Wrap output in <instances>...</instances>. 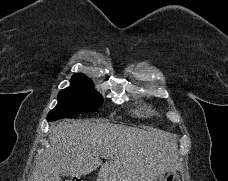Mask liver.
Returning <instances> with one entry per match:
<instances>
[{
	"label": "liver",
	"instance_id": "1",
	"mask_svg": "<svg viewBox=\"0 0 228 181\" xmlns=\"http://www.w3.org/2000/svg\"><path fill=\"white\" fill-rule=\"evenodd\" d=\"M51 147L41 155L30 181H60L97 171L100 181H157L178 169L174 135L159 129L112 125L107 119L52 125ZM107 155L103 163L100 157Z\"/></svg>",
	"mask_w": 228,
	"mask_h": 181
}]
</instances>
